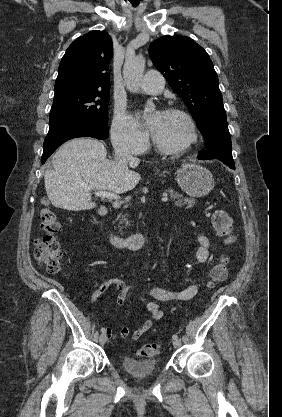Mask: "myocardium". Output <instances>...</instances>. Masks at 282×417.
<instances>
[{
    "label": "myocardium",
    "mask_w": 282,
    "mask_h": 417,
    "mask_svg": "<svg viewBox=\"0 0 282 417\" xmlns=\"http://www.w3.org/2000/svg\"><path fill=\"white\" fill-rule=\"evenodd\" d=\"M165 114H170V115H176L181 117L188 129V136L186 138L185 141H183L180 144L177 145H167L164 144L163 142H161L157 136L154 134V132L152 133V140L154 142V144L161 150L167 151V152H178V151H182L188 147H190L192 144H194L197 141V131H196V126L195 123L193 121V119L191 118V116L189 114H187L186 112L179 110V109H174V108H170V109H166L164 110Z\"/></svg>",
    "instance_id": "1"
}]
</instances>
